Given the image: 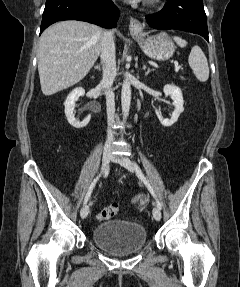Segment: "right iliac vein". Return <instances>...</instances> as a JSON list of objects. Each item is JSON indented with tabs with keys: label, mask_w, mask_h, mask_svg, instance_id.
Returning a JSON list of instances; mask_svg holds the SVG:
<instances>
[{
	"label": "right iliac vein",
	"mask_w": 240,
	"mask_h": 287,
	"mask_svg": "<svg viewBox=\"0 0 240 287\" xmlns=\"http://www.w3.org/2000/svg\"><path fill=\"white\" fill-rule=\"evenodd\" d=\"M110 160H111V150L106 149L103 152V156H102V166H101L102 173L107 170ZM88 213H89V206L84 205L80 211L81 218L82 219L86 218Z\"/></svg>",
	"instance_id": "63e3f726"
}]
</instances>
